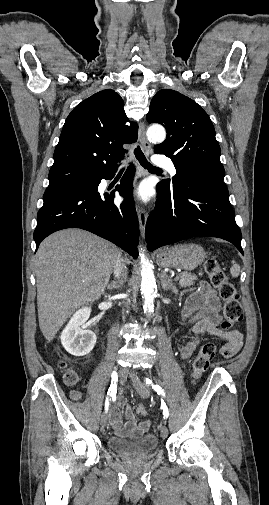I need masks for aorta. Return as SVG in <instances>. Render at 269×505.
Listing matches in <instances>:
<instances>
[{
    "label": "aorta",
    "instance_id": "1",
    "mask_svg": "<svg viewBox=\"0 0 269 505\" xmlns=\"http://www.w3.org/2000/svg\"><path fill=\"white\" fill-rule=\"evenodd\" d=\"M148 139L161 143L166 138V131L161 125H152L147 130ZM141 259V293L144 299V312L149 314L154 308V298L156 293V281L151 261L145 256L144 250L139 252Z\"/></svg>",
    "mask_w": 269,
    "mask_h": 505
}]
</instances>
